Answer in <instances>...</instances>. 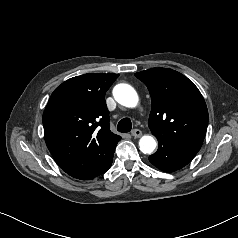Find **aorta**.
Here are the masks:
<instances>
[{
  "mask_svg": "<svg viewBox=\"0 0 238 238\" xmlns=\"http://www.w3.org/2000/svg\"><path fill=\"white\" fill-rule=\"evenodd\" d=\"M115 100L128 108L137 106L139 98L135 89L128 84H118L113 89ZM156 140L150 135H144L139 140V147L142 153L151 154L156 148Z\"/></svg>",
  "mask_w": 238,
  "mask_h": 238,
  "instance_id": "1",
  "label": "aorta"
}]
</instances>
